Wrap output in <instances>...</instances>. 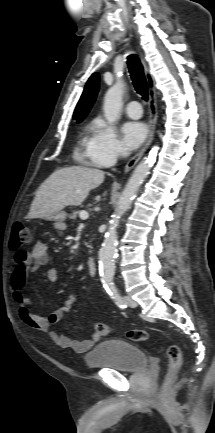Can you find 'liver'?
Returning <instances> with one entry per match:
<instances>
[{"mask_svg": "<svg viewBox=\"0 0 215 433\" xmlns=\"http://www.w3.org/2000/svg\"><path fill=\"white\" fill-rule=\"evenodd\" d=\"M104 172L96 168L70 166L56 170L36 191L30 218H48L66 206H79L90 190L104 181Z\"/></svg>", "mask_w": 215, "mask_h": 433, "instance_id": "liver-1", "label": "liver"}]
</instances>
